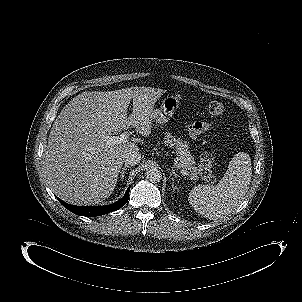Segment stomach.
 Returning <instances> with one entry per match:
<instances>
[{
  "label": "stomach",
  "mask_w": 302,
  "mask_h": 302,
  "mask_svg": "<svg viewBox=\"0 0 302 302\" xmlns=\"http://www.w3.org/2000/svg\"><path fill=\"white\" fill-rule=\"evenodd\" d=\"M180 100L177 96L167 95L161 103L159 109L152 112V120L159 124H164L169 121L174 112L179 108Z\"/></svg>",
  "instance_id": "0dacf381"
}]
</instances>
